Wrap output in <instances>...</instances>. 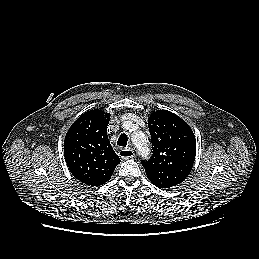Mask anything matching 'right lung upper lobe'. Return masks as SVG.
<instances>
[{
    "label": "right lung upper lobe",
    "mask_w": 259,
    "mask_h": 259,
    "mask_svg": "<svg viewBox=\"0 0 259 259\" xmlns=\"http://www.w3.org/2000/svg\"><path fill=\"white\" fill-rule=\"evenodd\" d=\"M110 114L90 110L69 128L64 140V156L73 176L84 184L107 182L120 163L107 135Z\"/></svg>",
    "instance_id": "obj_1"
}]
</instances>
